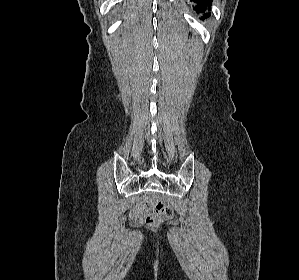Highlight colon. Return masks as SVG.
Returning a JSON list of instances; mask_svg holds the SVG:
<instances>
[{"mask_svg":"<svg viewBox=\"0 0 299 280\" xmlns=\"http://www.w3.org/2000/svg\"><path fill=\"white\" fill-rule=\"evenodd\" d=\"M153 204L155 206V211L147 216L146 222L150 226H157L165 220L171 219L173 217L172 208L159 199H154Z\"/></svg>","mask_w":299,"mask_h":280,"instance_id":"5ec220e1","label":"colon"}]
</instances>
